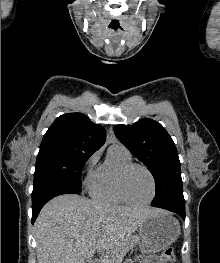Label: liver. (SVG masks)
<instances>
[{
    "label": "liver",
    "instance_id": "1",
    "mask_svg": "<svg viewBox=\"0 0 220 263\" xmlns=\"http://www.w3.org/2000/svg\"><path fill=\"white\" fill-rule=\"evenodd\" d=\"M161 210L104 204L75 194L49 201L35 221L38 263H120L126 241Z\"/></svg>",
    "mask_w": 220,
    "mask_h": 263
}]
</instances>
